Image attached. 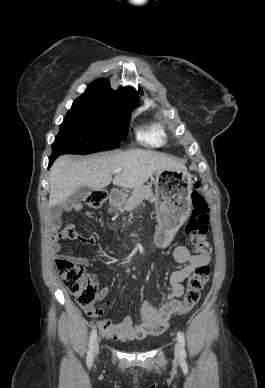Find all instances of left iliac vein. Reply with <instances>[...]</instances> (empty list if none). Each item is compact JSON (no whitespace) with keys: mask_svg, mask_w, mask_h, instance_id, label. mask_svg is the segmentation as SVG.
I'll list each match as a JSON object with an SVG mask.
<instances>
[{"mask_svg":"<svg viewBox=\"0 0 265 388\" xmlns=\"http://www.w3.org/2000/svg\"><path fill=\"white\" fill-rule=\"evenodd\" d=\"M175 357L179 358L180 357V350H179V344L175 345Z\"/></svg>","mask_w":265,"mask_h":388,"instance_id":"4c4485c4","label":"left iliac vein"}]
</instances>
